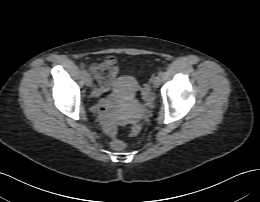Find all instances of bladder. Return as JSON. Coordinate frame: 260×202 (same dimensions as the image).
Listing matches in <instances>:
<instances>
[{"mask_svg":"<svg viewBox=\"0 0 260 202\" xmlns=\"http://www.w3.org/2000/svg\"><path fill=\"white\" fill-rule=\"evenodd\" d=\"M139 89L137 80L132 76H120L113 84V94L122 103L129 106V111L133 115L139 113V108L136 101V92Z\"/></svg>","mask_w":260,"mask_h":202,"instance_id":"1","label":"bladder"}]
</instances>
